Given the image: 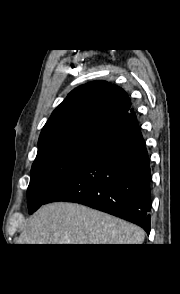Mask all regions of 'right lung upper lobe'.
I'll return each instance as SVG.
<instances>
[{
  "instance_id": "cb5924a9",
  "label": "right lung upper lobe",
  "mask_w": 180,
  "mask_h": 294,
  "mask_svg": "<svg viewBox=\"0 0 180 294\" xmlns=\"http://www.w3.org/2000/svg\"><path fill=\"white\" fill-rule=\"evenodd\" d=\"M126 92L106 81L75 88L53 111L38 141V151L61 142L88 139L101 141L132 114Z\"/></svg>"
}]
</instances>
